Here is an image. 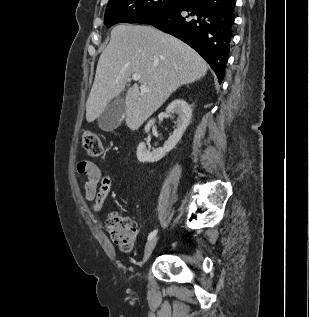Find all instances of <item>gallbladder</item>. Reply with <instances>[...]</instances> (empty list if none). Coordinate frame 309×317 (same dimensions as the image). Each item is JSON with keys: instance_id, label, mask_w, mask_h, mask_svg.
<instances>
[{"instance_id": "gallbladder-1", "label": "gallbladder", "mask_w": 309, "mask_h": 317, "mask_svg": "<svg viewBox=\"0 0 309 317\" xmlns=\"http://www.w3.org/2000/svg\"><path fill=\"white\" fill-rule=\"evenodd\" d=\"M125 99L123 96H117L104 109L98 118V126L103 131H113L116 129L125 116Z\"/></svg>"}]
</instances>
